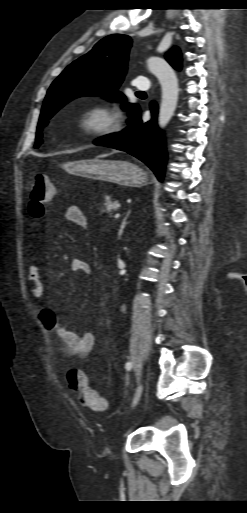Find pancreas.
Here are the masks:
<instances>
[{
	"mask_svg": "<svg viewBox=\"0 0 247 513\" xmlns=\"http://www.w3.org/2000/svg\"><path fill=\"white\" fill-rule=\"evenodd\" d=\"M119 208L120 204L117 200L112 199L111 196H106L101 211L108 214L109 216H113L114 213L119 210Z\"/></svg>",
	"mask_w": 247,
	"mask_h": 513,
	"instance_id": "obj_1",
	"label": "pancreas"
}]
</instances>
